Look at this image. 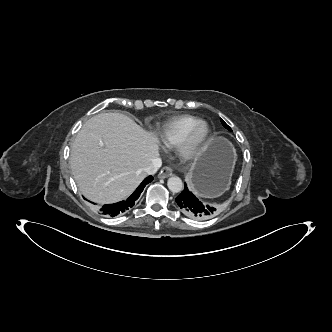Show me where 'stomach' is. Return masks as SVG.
<instances>
[{"label":"stomach","mask_w":332,"mask_h":332,"mask_svg":"<svg viewBox=\"0 0 332 332\" xmlns=\"http://www.w3.org/2000/svg\"><path fill=\"white\" fill-rule=\"evenodd\" d=\"M235 162V150L223 137H212L203 147L188 174L195 195L214 198L227 190Z\"/></svg>","instance_id":"stomach-1"}]
</instances>
